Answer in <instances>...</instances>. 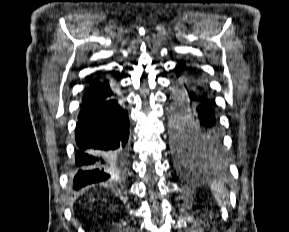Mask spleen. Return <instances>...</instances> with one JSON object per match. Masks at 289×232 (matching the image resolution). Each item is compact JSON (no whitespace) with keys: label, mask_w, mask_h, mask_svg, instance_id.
<instances>
[{"label":"spleen","mask_w":289,"mask_h":232,"mask_svg":"<svg viewBox=\"0 0 289 232\" xmlns=\"http://www.w3.org/2000/svg\"><path fill=\"white\" fill-rule=\"evenodd\" d=\"M211 190L218 203H225V199L228 197V193L225 189L224 183L221 181L215 182L211 185Z\"/></svg>","instance_id":"3e777b00"}]
</instances>
